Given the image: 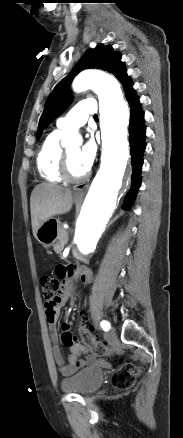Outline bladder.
I'll list each match as a JSON object with an SVG mask.
<instances>
[{"instance_id": "bladder-1", "label": "bladder", "mask_w": 183, "mask_h": 438, "mask_svg": "<svg viewBox=\"0 0 183 438\" xmlns=\"http://www.w3.org/2000/svg\"><path fill=\"white\" fill-rule=\"evenodd\" d=\"M104 381V373L96 367L85 368L75 375L62 380L64 392L89 395L99 389Z\"/></svg>"}]
</instances>
